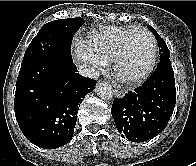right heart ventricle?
I'll use <instances>...</instances> for the list:
<instances>
[{
	"label": "right heart ventricle",
	"mask_w": 196,
	"mask_h": 166,
	"mask_svg": "<svg viewBox=\"0 0 196 166\" xmlns=\"http://www.w3.org/2000/svg\"><path fill=\"white\" fill-rule=\"evenodd\" d=\"M134 28L108 26L94 32L87 43L94 53L105 61L112 62L127 34Z\"/></svg>",
	"instance_id": "e07e8e85"
}]
</instances>
